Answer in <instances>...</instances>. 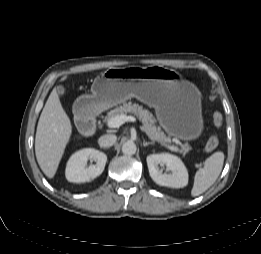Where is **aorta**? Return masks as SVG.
<instances>
[{
	"mask_svg": "<svg viewBox=\"0 0 261 254\" xmlns=\"http://www.w3.org/2000/svg\"><path fill=\"white\" fill-rule=\"evenodd\" d=\"M136 144L132 141H127L122 145V152L125 155H133L136 153Z\"/></svg>",
	"mask_w": 261,
	"mask_h": 254,
	"instance_id": "762f6f07",
	"label": "aorta"
}]
</instances>
